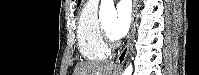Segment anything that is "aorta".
Listing matches in <instances>:
<instances>
[{
    "label": "aorta",
    "instance_id": "obj_1",
    "mask_svg": "<svg viewBox=\"0 0 199 75\" xmlns=\"http://www.w3.org/2000/svg\"><path fill=\"white\" fill-rule=\"evenodd\" d=\"M117 18V12L114 7L113 0H101L99 20L103 22L104 20L110 19L115 20ZM133 67L132 64L126 67L123 75H132Z\"/></svg>",
    "mask_w": 199,
    "mask_h": 75
}]
</instances>
